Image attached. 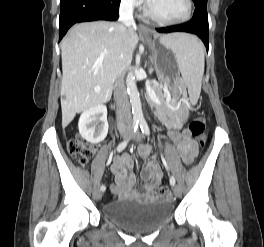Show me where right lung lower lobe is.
<instances>
[{"label":"right lung lower lobe","mask_w":264,"mask_h":247,"mask_svg":"<svg viewBox=\"0 0 264 247\" xmlns=\"http://www.w3.org/2000/svg\"><path fill=\"white\" fill-rule=\"evenodd\" d=\"M120 0H60L59 40L75 23L118 19Z\"/></svg>","instance_id":"right-lung-lower-lobe-1"}]
</instances>
